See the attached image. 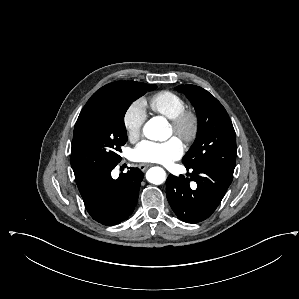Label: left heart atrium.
Here are the masks:
<instances>
[{
	"label": "left heart atrium",
	"instance_id": "39dd6f15",
	"mask_svg": "<svg viewBox=\"0 0 299 299\" xmlns=\"http://www.w3.org/2000/svg\"><path fill=\"white\" fill-rule=\"evenodd\" d=\"M183 153V145L173 137L164 142L143 140L131 150L130 157L136 162L168 165L181 158Z\"/></svg>",
	"mask_w": 299,
	"mask_h": 299
}]
</instances>
